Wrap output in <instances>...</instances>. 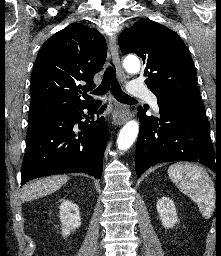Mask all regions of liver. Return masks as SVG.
Listing matches in <instances>:
<instances>
[{
	"label": "liver",
	"mask_w": 221,
	"mask_h": 256,
	"mask_svg": "<svg viewBox=\"0 0 221 256\" xmlns=\"http://www.w3.org/2000/svg\"><path fill=\"white\" fill-rule=\"evenodd\" d=\"M68 179L69 177L65 175H54L28 183L22 188V199L30 201L51 194L64 185Z\"/></svg>",
	"instance_id": "obj_1"
}]
</instances>
